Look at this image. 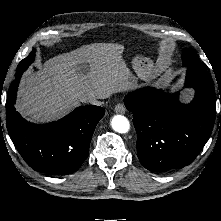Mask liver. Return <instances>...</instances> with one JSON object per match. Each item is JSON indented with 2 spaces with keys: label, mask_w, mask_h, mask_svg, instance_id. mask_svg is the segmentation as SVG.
<instances>
[{
  "label": "liver",
  "mask_w": 221,
  "mask_h": 221,
  "mask_svg": "<svg viewBox=\"0 0 221 221\" xmlns=\"http://www.w3.org/2000/svg\"><path fill=\"white\" fill-rule=\"evenodd\" d=\"M123 52L120 44L94 43L50 58L21 80L17 110L43 123L64 116L88 96L105 99L132 90L137 78Z\"/></svg>",
  "instance_id": "liver-1"
}]
</instances>
